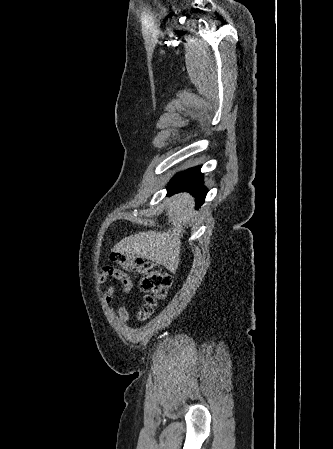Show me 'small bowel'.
<instances>
[{"instance_id":"c3829d8e","label":"small bowel","mask_w":333,"mask_h":449,"mask_svg":"<svg viewBox=\"0 0 333 449\" xmlns=\"http://www.w3.org/2000/svg\"><path fill=\"white\" fill-rule=\"evenodd\" d=\"M108 277H113L121 284L120 290L123 294H128L132 288V279L128 273L124 270L115 268L110 265H106L102 268V272L97 275V279L100 283H104ZM118 286L111 285L103 293V299L109 306L110 311L117 316L121 323H125L129 319L128 311L125 306H120L118 310L112 307L114 294L118 290Z\"/></svg>"}]
</instances>
